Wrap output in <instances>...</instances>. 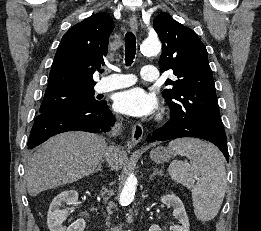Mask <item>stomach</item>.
I'll return each instance as SVG.
<instances>
[{
	"label": "stomach",
	"mask_w": 261,
	"mask_h": 231,
	"mask_svg": "<svg viewBox=\"0 0 261 231\" xmlns=\"http://www.w3.org/2000/svg\"><path fill=\"white\" fill-rule=\"evenodd\" d=\"M175 152L169 147H157L150 151V158L156 163L169 162Z\"/></svg>",
	"instance_id": "obj_1"
}]
</instances>
